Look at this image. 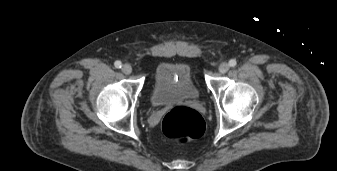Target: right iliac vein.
Masks as SVG:
<instances>
[{"label":"right iliac vein","mask_w":337,"mask_h":171,"mask_svg":"<svg viewBox=\"0 0 337 171\" xmlns=\"http://www.w3.org/2000/svg\"><path fill=\"white\" fill-rule=\"evenodd\" d=\"M122 72L126 75H129L132 72V67L129 64H124L122 67Z\"/></svg>","instance_id":"right-iliac-vein-1"}]
</instances>
